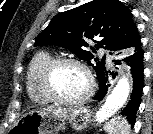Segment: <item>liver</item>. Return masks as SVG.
I'll return each mask as SVG.
<instances>
[{"mask_svg": "<svg viewBox=\"0 0 153 134\" xmlns=\"http://www.w3.org/2000/svg\"><path fill=\"white\" fill-rule=\"evenodd\" d=\"M50 110H57L58 108L49 107Z\"/></svg>", "mask_w": 153, "mask_h": 134, "instance_id": "obj_1", "label": "liver"}]
</instances>
